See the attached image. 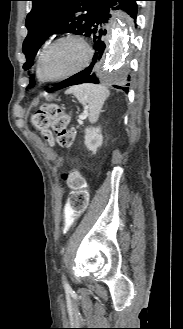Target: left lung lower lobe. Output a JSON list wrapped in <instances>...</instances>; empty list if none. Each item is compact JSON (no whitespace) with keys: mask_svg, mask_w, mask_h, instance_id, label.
Returning <instances> with one entry per match:
<instances>
[{"mask_svg":"<svg viewBox=\"0 0 183 329\" xmlns=\"http://www.w3.org/2000/svg\"><path fill=\"white\" fill-rule=\"evenodd\" d=\"M137 1L139 0H107L99 8L86 35L93 41V49L95 50L90 66L84 69L83 71L71 76L70 78L60 82L54 88L49 89V91H55L71 85H77L82 83H99V80L96 75L92 73V69L95 64L100 62L106 51L105 35L107 31L105 28V23L111 17L110 12H112L113 10L122 9L126 11L134 20H136ZM129 78L130 77H128V79ZM128 86L129 84L123 86L114 85L115 88L121 89L126 93L129 91Z\"/></svg>","mask_w":183,"mask_h":329,"instance_id":"1","label":"left lung lower lobe"}]
</instances>
